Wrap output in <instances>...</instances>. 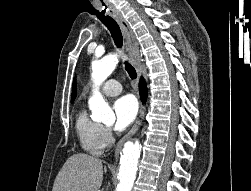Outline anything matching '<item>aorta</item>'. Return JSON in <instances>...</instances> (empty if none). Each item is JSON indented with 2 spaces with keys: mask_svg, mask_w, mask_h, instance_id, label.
I'll return each mask as SVG.
<instances>
[{
  "mask_svg": "<svg viewBox=\"0 0 251 191\" xmlns=\"http://www.w3.org/2000/svg\"><path fill=\"white\" fill-rule=\"evenodd\" d=\"M118 64L117 54H109L99 62H92V80L94 82L93 96L88 99L90 109L92 111V119L94 121H107L114 119L115 115L109 103L100 94L99 86L107 80ZM141 143L139 141H128L125 143L122 151L123 155L120 159L118 191H131L135 181L138 159L140 157Z\"/></svg>",
  "mask_w": 251,
  "mask_h": 191,
  "instance_id": "aorta-1",
  "label": "aorta"
}]
</instances>
